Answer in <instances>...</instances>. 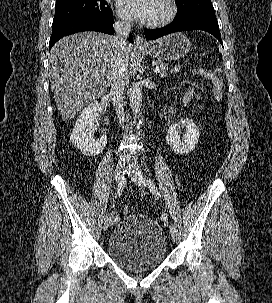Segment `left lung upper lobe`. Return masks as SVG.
<instances>
[{"instance_id": "5c2ea615", "label": "left lung upper lobe", "mask_w": 272, "mask_h": 303, "mask_svg": "<svg viewBox=\"0 0 272 303\" xmlns=\"http://www.w3.org/2000/svg\"><path fill=\"white\" fill-rule=\"evenodd\" d=\"M179 8L174 20L215 16L211 0H175Z\"/></svg>"}]
</instances>
